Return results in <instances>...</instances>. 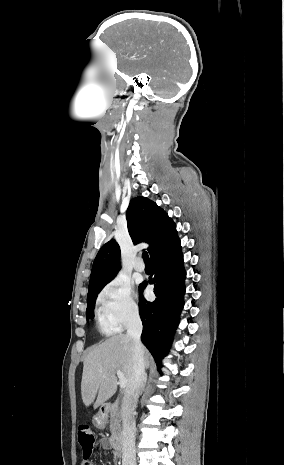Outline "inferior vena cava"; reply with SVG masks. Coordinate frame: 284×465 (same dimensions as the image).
Returning <instances> with one entry per match:
<instances>
[{
  "label": "inferior vena cava",
  "mask_w": 284,
  "mask_h": 465,
  "mask_svg": "<svg viewBox=\"0 0 284 465\" xmlns=\"http://www.w3.org/2000/svg\"><path fill=\"white\" fill-rule=\"evenodd\" d=\"M141 333L142 321L139 315H130L127 323V335L133 341V371L131 383L124 393L121 409L123 427L122 465H136L134 409L143 387L145 375L144 351L140 341Z\"/></svg>",
  "instance_id": "obj_1"
}]
</instances>
